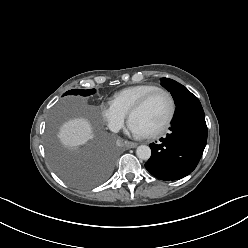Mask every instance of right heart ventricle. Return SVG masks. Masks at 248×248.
<instances>
[{
  "instance_id": "1",
  "label": "right heart ventricle",
  "mask_w": 248,
  "mask_h": 248,
  "mask_svg": "<svg viewBox=\"0 0 248 248\" xmlns=\"http://www.w3.org/2000/svg\"><path fill=\"white\" fill-rule=\"evenodd\" d=\"M158 88L153 84H138L129 86L116 92L112 97V102L125 113L146 93Z\"/></svg>"
}]
</instances>
